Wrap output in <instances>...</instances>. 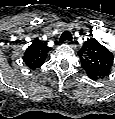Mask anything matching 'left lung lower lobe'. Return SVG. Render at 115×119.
Here are the masks:
<instances>
[{
    "label": "left lung lower lobe",
    "instance_id": "1",
    "mask_svg": "<svg viewBox=\"0 0 115 119\" xmlns=\"http://www.w3.org/2000/svg\"><path fill=\"white\" fill-rule=\"evenodd\" d=\"M91 79H93V80H96V78L95 77H90Z\"/></svg>",
    "mask_w": 115,
    "mask_h": 119
}]
</instances>
